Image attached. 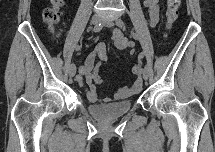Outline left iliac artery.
<instances>
[{"instance_id": "1", "label": "left iliac artery", "mask_w": 215, "mask_h": 152, "mask_svg": "<svg viewBox=\"0 0 215 152\" xmlns=\"http://www.w3.org/2000/svg\"><path fill=\"white\" fill-rule=\"evenodd\" d=\"M116 25H117L118 27L125 28V23H124L123 20H121V19H117V20H116ZM131 34H132V36H133L134 39L138 40V35H137L136 33L131 32ZM139 56H140V57H144V53L141 52ZM138 73H139V74H142V73H143V69H142L141 67L138 69Z\"/></svg>"}]
</instances>
